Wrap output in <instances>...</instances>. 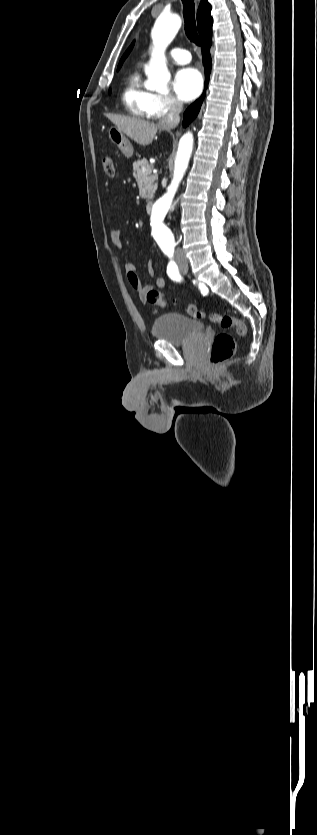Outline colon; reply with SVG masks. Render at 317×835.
I'll list each match as a JSON object with an SVG mask.
<instances>
[{"mask_svg":"<svg viewBox=\"0 0 317 835\" xmlns=\"http://www.w3.org/2000/svg\"><path fill=\"white\" fill-rule=\"evenodd\" d=\"M102 166L105 174L109 177H114L116 174V164L112 157L104 156L102 158ZM146 300L156 306L165 308L168 306V299L158 290L150 289L145 293ZM186 312L189 316L202 319L206 314L202 312L196 305L189 304L186 306ZM211 322L218 324L224 329L235 328L239 337L246 335L247 327L244 322L236 317L227 314H211L209 316ZM236 350V341L234 336L228 333H219L215 336L211 353L210 363L217 366L226 360L230 359Z\"/></svg>","mask_w":317,"mask_h":835,"instance_id":"colon-1","label":"colon"}]
</instances>
